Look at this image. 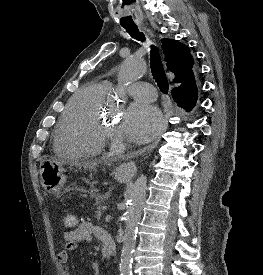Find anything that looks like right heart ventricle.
<instances>
[{
	"label": "right heart ventricle",
	"mask_w": 263,
	"mask_h": 275,
	"mask_svg": "<svg viewBox=\"0 0 263 275\" xmlns=\"http://www.w3.org/2000/svg\"><path fill=\"white\" fill-rule=\"evenodd\" d=\"M108 89L103 83L82 87L69 100L54 136L57 153L68 158H86L98 155L104 144L92 133L100 116Z\"/></svg>",
	"instance_id": "right-heart-ventricle-1"
}]
</instances>
